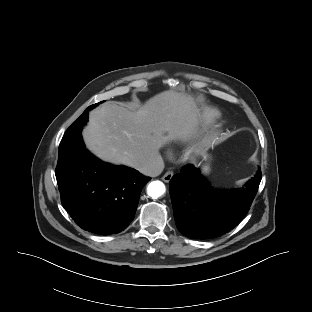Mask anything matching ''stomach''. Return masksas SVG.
Returning a JSON list of instances; mask_svg holds the SVG:
<instances>
[{"label":"stomach","mask_w":312,"mask_h":312,"mask_svg":"<svg viewBox=\"0 0 312 312\" xmlns=\"http://www.w3.org/2000/svg\"><path fill=\"white\" fill-rule=\"evenodd\" d=\"M202 170H203V173L207 174L210 171V166L208 164L204 165Z\"/></svg>","instance_id":"1"}]
</instances>
